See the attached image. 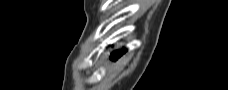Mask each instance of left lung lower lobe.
Here are the masks:
<instances>
[{
    "instance_id": "left-lung-lower-lobe-1",
    "label": "left lung lower lobe",
    "mask_w": 228,
    "mask_h": 90,
    "mask_svg": "<svg viewBox=\"0 0 228 90\" xmlns=\"http://www.w3.org/2000/svg\"><path fill=\"white\" fill-rule=\"evenodd\" d=\"M126 52L125 49H122V50H117V51H114L112 54H111V59L116 61L118 58H120L124 53Z\"/></svg>"
}]
</instances>
